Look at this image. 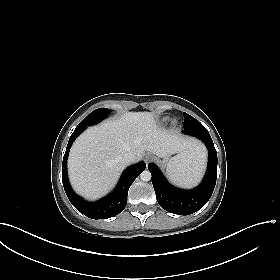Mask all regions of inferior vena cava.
<instances>
[{
	"label": "inferior vena cava",
	"mask_w": 280,
	"mask_h": 280,
	"mask_svg": "<svg viewBox=\"0 0 280 280\" xmlns=\"http://www.w3.org/2000/svg\"><path fill=\"white\" fill-rule=\"evenodd\" d=\"M122 160L126 164H130L135 161V156L132 153H126L123 155Z\"/></svg>",
	"instance_id": "602c4592"
}]
</instances>
